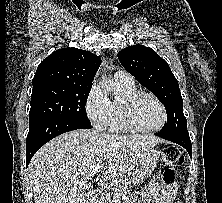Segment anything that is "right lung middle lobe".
<instances>
[{
    "label": "right lung middle lobe",
    "mask_w": 222,
    "mask_h": 203,
    "mask_svg": "<svg viewBox=\"0 0 222 203\" xmlns=\"http://www.w3.org/2000/svg\"><path fill=\"white\" fill-rule=\"evenodd\" d=\"M92 86H53L34 90L29 123L45 118H64L90 123L85 104Z\"/></svg>",
    "instance_id": "dd1d6c3e"
}]
</instances>
